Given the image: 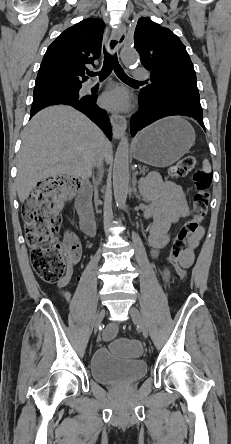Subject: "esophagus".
<instances>
[{
    "instance_id": "1",
    "label": "esophagus",
    "mask_w": 231,
    "mask_h": 444,
    "mask_svg": "<svg viewBox=\"0 0 231 444\" xmlns=\"http://www.w3.org/2000/svg\"><path fill=\"white\" fill-rule=\"evenodd\" d=\"M126 38V27L124 24H119V27L112 31V35L107 43V51L112 54L117 52L122 47ZM110 122L113 129V137L119 139L125 132L127 122L124 116L118 114H112L110 116Z\"/></svg>"
}]
</instances>
